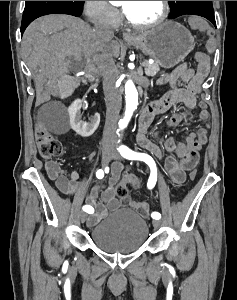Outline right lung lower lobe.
<instances>
[{"instance_id":"1","label":"right lung lower lobe","mask_w":237,"mask_h":300,"mask_svg":"<svg viewBox=\"0 0 237 300\" xmlns=\"http://www.w3.org/2000/svg\"><path fill=\"white\" fill-rule=\"evenodd\" d=\"M83 7H65V8H56V9H51L47 10L44 12H41L29 19H22V25H21V34L25 31L26 27L36 18L43 16V15H48V14H69L73 16H80L82 14Z\"/></svg>"}]
</instances>
